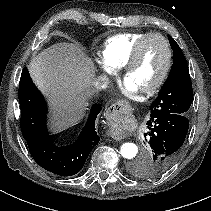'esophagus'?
Returning <instances> with one entry per match:
<instances>
[{"label":"esophagus","mask_w":211,"mask_h":211,"mask_svg":"<svg viewBox=\"0 0 211 211\" xmlns=\"http://www.w3.org/2000/svg\"><path fill=\"white\" fill-rule=\"evenodd\" d=\"M125 107H126V105L124 103L116 102V103L112 104L109 109L117 111L118 109L120 110ZM111 137L116 138V136H113V135H111Z\"/></svg>","instance_id":"34e87169"}]
</instances>
